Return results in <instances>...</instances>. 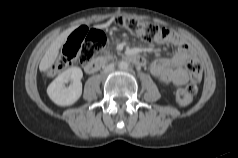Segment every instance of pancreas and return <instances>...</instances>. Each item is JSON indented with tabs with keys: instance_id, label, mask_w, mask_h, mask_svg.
<instances>
[{
	"instance_id": "1",
	"label": "pancreas",
	"mask_w": 238,
	"mask_h": 158,
	"mask_svg": "<svg viewBox=\"0 0 238 158\" xmlns=\"http://www.w3.org/2000/svg\"><path fill=\"white\" fill-rule=\"evenodd\" d=\"M106 54H110L108 51L105 52Z\"/></svg>"
}]
</instances>
